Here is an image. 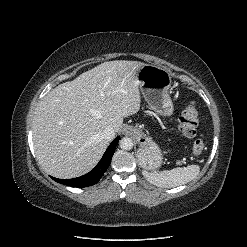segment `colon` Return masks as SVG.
Wrapping results in <instances>:
<instances>
[{"label": "colon", "instance_id": "obj_1", "mask_svg": "<svg viewBox=\"0 0 247 247\" xmlns=\"http://www.w3.org/2000/svg\"><path fill=\"white\" fill-rule=\"evenodd\" d=\"M199 125V114L194 102H189L183 109L179 118V129L186 137H192L196 134ZM193 152L196 155L201 154L205 149L202 140L196 139L193 143Z\"/></svg>", "mask_w": 247, "mask_h": 247}]
</instances>
